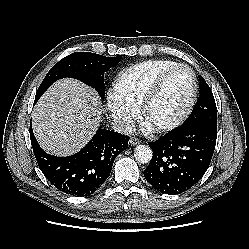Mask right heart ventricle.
<instances>
[{
  "label": "right heart ventricle",
  "mask_w": 249,
  "mask_h": 249,
  "mask_svg": "<svg viewBox=\"0 0 249 249\" xmlns=\"http://www.w3.org/2000/svg\"><path fill=\"white\" fill-rule=\"evenodd\" d=\"M177 64L169 59H153L123 70L114 81V96L137 111L158 76Z\"/></svg>",
  "instance_id": "e07e8e85"
}]
</instances>
